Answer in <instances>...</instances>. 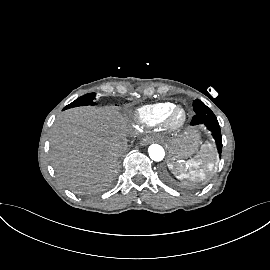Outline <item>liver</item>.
<instances>
[{"label": "liver", "instance_id": "6515ba94", "mask_svg": "<svg viewBox=\"0 0 270 270\" xmlns=\"http://www.w3.org/2000/svg\"><path fill=\"white\" fill-rule=\"evenodd\" d=\"M126 125L115 107H76L61 113L51 130V160L60 175L84 188H102L118 163Z\"/></svg>", "mask_w": 270, "mask_h": 270}]
</instances>
